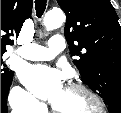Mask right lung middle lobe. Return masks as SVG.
<instances>
[{
    "label": "right lung middle lobe",
    "mask_w": 121,
    "mask_h": 113,
    "mask_svg": "<svg viewBox=\"0 0 121 113\" xmlns=\"http://www.w3.org/2000/svg\"><path fill=\"white\" fill-rule=\"evenodd\" d=\"M4 53L5 51L1 52V81L8 82L13 78V71H9L8 68L6 67V64H3L2 56Z\"/></svg>",
    "instance_id": "dd1d6c3e"
}]
</instances>
